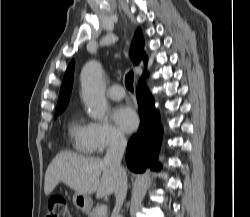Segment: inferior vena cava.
Segmentation results:
<instances>
[{"instance_id": "obj_1", "label": "inferior vena cava", "mask_w": 250, "mask_h": 217, "mask_svg": "<svg viewBox=\"0 0 250 217\" xmlns=\"http://www.w3.org/2000/svg\"><path fill=\"white\" fill-rule=\"evenodd\" d=\"M126 145L127 141L123 135H114L103 159L104 163L109 166L110 171L112 172L116 180V188L114 192L116 204L112 213V217H120L119 211L127 194V175L124 168L121 166V160Z\"/></svg>"}]
</instances>
